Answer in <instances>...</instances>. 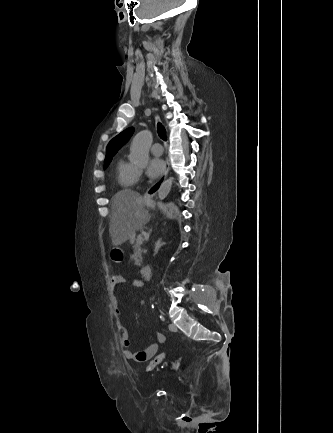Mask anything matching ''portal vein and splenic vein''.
<instances>
[{
    "instance_id": "18ae733b",
    "label": "portal vein and splenic vein",
    "mask_w": 333,
    "mask_h": 433,
    "mask_svg": "<svg viewBox=\"0 0 333 433\" xmlns=\"http://www.w3.org/2000/svg\"><path fill=\"white\" fill-rule=\"evenodd\" d=\"M143 239H144L143 236H139L137 242L140 243V244H142L143 243Z\"/></svg>"
}]
</instances>
